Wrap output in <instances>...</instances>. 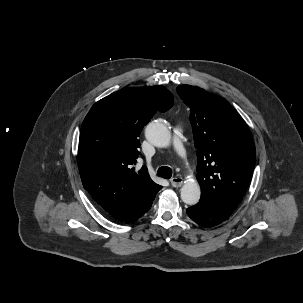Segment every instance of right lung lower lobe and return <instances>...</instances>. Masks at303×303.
<instances>
[{
  "label": "right lung lower lobe",
  "instance_id": "obj_1",
  "mask_svg": "<svg viewBox=\"0 0 303 303\" xmlns=\"http://www.w3.org/2000/svg\"><path fill=\"white\" fill-rule=\"evenodd\" d=\"M153 200H154V199H153ZM153 200L150 201V202L148 203V205L146 206V208H145L140 214H138L137 216H135L133 219H131V220H129V221H125V222H126V223H131V222H134V221H136L137 219H139L141 216H143L144 213L147 212V211L150 209Z\"/></svg>",
  "mask_w": 303,
  "mask_h": 303
}]
</instances>
